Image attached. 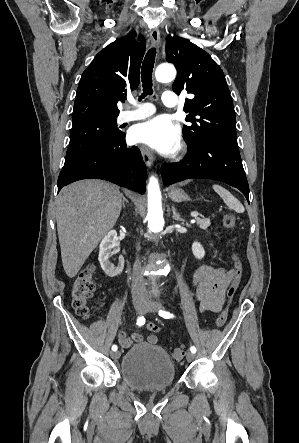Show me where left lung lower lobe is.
I'll return each instance as SVG.
<instances>
[{
  "label": "left lung lower lobe",
  "mask_w": 299,
  "mask_h": 443,
  "mask_svg": "<svg viewBox=\"0 0 299 443\" xmlns=\"http://www.w3.org/2000/svg\"><path fill=\"white\" fill-rule=\"evenodd\" d=\"M164 185L189 178H209L238 188L249 202V185L237 145L208 139L188 145L186 157L161 168Z\"/></svg>",
  "instance_id": "left-lung-lower-lobe-1"
}]
</instances>
